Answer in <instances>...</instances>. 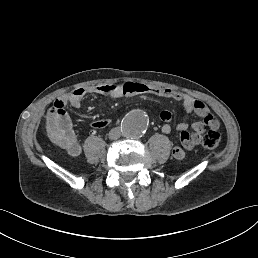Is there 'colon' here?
<instances>
[{
  "label": "colon",
  "instance_id": "obj_1",
  "mask_svg": "<svg viewBox=\"0 0 258 258\" xmlns=\"http://www.w3.org/2000/svg\"><path fill=\"white\" fill-rule=\"evenodd\" d=\"M220 134L219 132L211 128L207 130L202 137V146L206 149H214L219 145Z\"/></svg>",
  "mask_w": 258,
  "mask_h": 258
}]
</instances>
